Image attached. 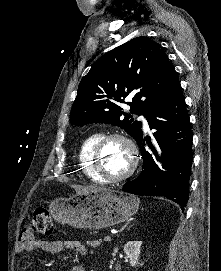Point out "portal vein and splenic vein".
I'll use <instances>...</instances> for the list:
<instances>
[{"label": "portal vein and splenic vein", "mask_w": 221, "mask_h": 271, "mask_svg": "<svg viewBox=\"0 0 221 271\" xmlns=\"http://www.w3.org/2000/svg\"><path fill=\"white\" fill-rule=\"evenodd\" d=\"M111 238H112L111 235H104V236H103V239H104V240H107V241H110Z\"/></svg>", "instance_id": "18ae733b"}]
</instances>
